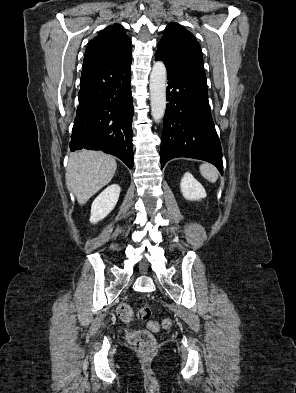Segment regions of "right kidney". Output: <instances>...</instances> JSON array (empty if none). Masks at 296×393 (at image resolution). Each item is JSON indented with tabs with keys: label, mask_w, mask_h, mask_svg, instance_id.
Returning a JSON list of instances; mask_svg holds the SVG:
<instances>
[{
	"label": "right kidney",
	"mask_w": 296,
	"mask_h": 393,
	"mask_svg": "<svg viewBox=\"0 0 296 393\" xmlns=\"http://www.w3.org/2000/svg\"><path fill=\"white\" fill-rule=\"evenodd\" d=\"M121 188L117 184L110 185L93 201L90 222L95 224L104 219L115 207Z\"/></svg>",
	"instance_id": "right-kidney-1"
}]
</instances>
